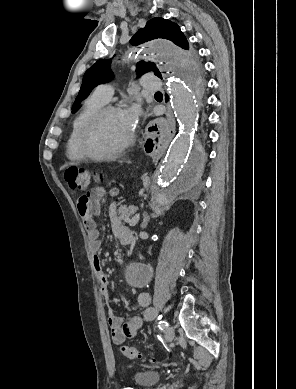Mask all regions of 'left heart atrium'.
<instances>
[{"label":"left heart atrium","mask_w":296,"mask_h":389,"mask_svg":"<svg viewBox=\"0 0 296 389\" xmlns=\"http://www.w3.org/2000/svg\"><path fill=\"white\" fill-rule=\"evenodd\" d=\"M124 113L126 114L128 120H129V123L133 128L135 126L137 119H138V116L140 114L139 107L136 105H133L130 108H128Z\"/></svg>","instance_id":"39dd6f15"}]
</instances>
